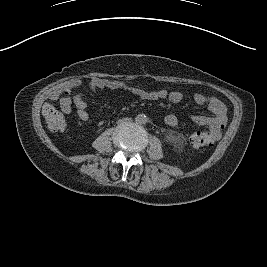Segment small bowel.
<instances>
[{
  "label": "small bowel",
  "instance_id": "small-bowel-1",
  "mask_svg": "<svg viewBox=\"0 0 267 267\" xmlns=\"http://www.w3.org/2000/svg\"><path fill=\"white\" fill-rule=\"evenodd\" d=\"M77 82H71L67 84L62 93L68 95L76 86ZM89 87L92 91L96 92L105 88H124L126 87L121 82L116 81H105L99 78H94L90 80ZM128 89L142 100L146 101H156V100H168L171 103H179L183 100V94L180 91H169L165 88H158L156 90L148 91L139 87H128ZM193 102L199 106H207L208 110L211 112L212 116H191L190 121L199 126H205L208 128V132H196L204 134L210 144L218 141L221 136L223 129L226 126L227 116L225 105L217 98L203 93H195L192 97ZM72 102L76 109L78 118L81 121H87L89 119V114L87 111L86 95L83 92H79L73 96L71 99L67 96L61 97L59 99V104L61 109L65 113H70L72 110ZM166 125L170 127H175L178 125V119L175 115H167L164 118ZM195 134V133H194Z\"/></svg>",
  "mask_w": 267,
  "mask_h": 267
}]
</instances>
